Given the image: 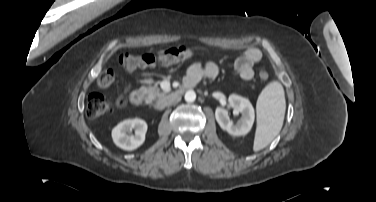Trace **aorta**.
Masks as SVG:
<instances>
[{
    "mask_svg": "<svg viewBox=\"0 0 376 202\" xmlns=\"http://www.w3.org/2000/svg\"><path fill=\"white\" fill-rule=\"evenodd\" d=\"M196 99V93L193 90H188L185 93V101L186 102H194Z\"/></svg>",
    "mask_w": 376,
    "mask_h": 202,
    "instance_id": "aorta-1",
    "label": "aorta"
}]
</instances>
